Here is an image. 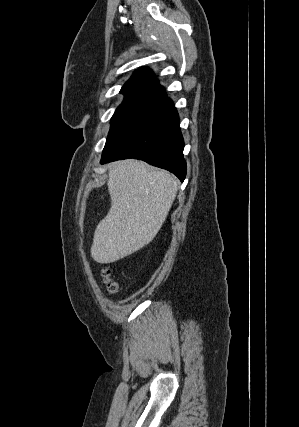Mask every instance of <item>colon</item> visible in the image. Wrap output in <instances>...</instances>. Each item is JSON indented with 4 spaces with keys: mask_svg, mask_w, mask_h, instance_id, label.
<instances>
[{
    "mask_svg": "<svg viewBox=\"0 0 299 427\" xmlns=\"http://www.w3.org/2000/svg\"><path fill=\"white\" fill-rule=\"evenodd\" d=\"M102 278L107 291L111 294L116 293L118 289V284L113 278L111 272L109 270H104L102 272Z\"/></svg>",
    "mask_w": 299,
    "mask_h": 427,
    "instance_id": "1",
    "label": "colon"
}]
</instances>
